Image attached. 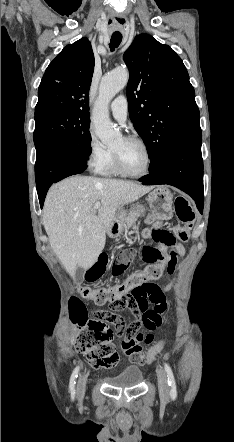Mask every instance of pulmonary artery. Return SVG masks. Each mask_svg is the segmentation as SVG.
Returning a JSON list of instances; mask_svg holds the SVG:
<instances>
[{"instance_id": "e3ab8cb5", "label": "pulmonary artery", "mask_w": 234, "mask_h": 442, "mask_svg": "<svg viewBox=\"0 0 234 442\" xmlns=\"http://www.w3.org/2000/svg\"><path fill=\"white\" fill-rule=\"evenodd\" d=\"M110 108L116 120H118L120 123H124L126 121L128 115V101L125 96L121 95L115 98L111 102Z\"/></svg>"}]
</instances>
